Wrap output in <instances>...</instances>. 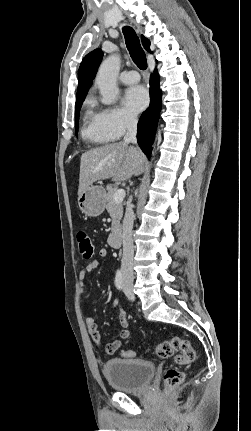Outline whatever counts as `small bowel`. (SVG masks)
<instances>
[{"mask_svg":"<svg viewBox=\"0 0 251 431\" xmlns=\"http://www.w3.org/2000/svg\"><path fill=\"white\" fill-rule=\"evenodd\" d=\"M99 255L101 257H106L108 255V251L105 248L100 249ZM101 265L100 261L93 260L86 264L82 269L79 271L78 275V291L79 294L82 295L84 293V280L88 274L93 272L95 269L99 268ZM113 309L120 310L118 319L119 323L122 327V329L117 333L116 339L112 342H109L105 345H101V335L98 329V324L96 323L95 319L92 316L86 315L84 317V322L87 327V331L92 338V340L95 342V344L101 348L102 352L111 355L114 354L120 347H121V341L128 339L130 336V331L128 329L129 322L127 319V316L124 311L120 308L119 300L116 298L113 301Z\"/></svg>","mask_w":251,"mask_h":431,"instance_id":"1","label":"small bowel"}]
</instances>
